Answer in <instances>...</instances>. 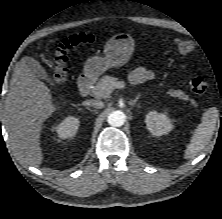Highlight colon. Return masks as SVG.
<instances>
[{
	"instance_id": "5ec220e1",
	"label": "colon",
	"mask_w": 222,
	"mask_h": 219,
	"mask_svg": "<svg viewBox=\"0 0 222 219\" xmlns=\"http://www.w3.org/2000/svg\"><path fill=\"white\" fill-rule=\"evenodd\" d=\"M98 35L92 33H74L60 37L52 49V54L49 60V74L55 84H62L67 78V54L68 51L79 45H90L97 42ZM177 50L188 55L193 52L194 46L191 41L177 38L175 39ZM191 90L198 95H203L207 92L208 83L201 76L194 77L190 81Z\"/></svg>"
}]
</instances>
